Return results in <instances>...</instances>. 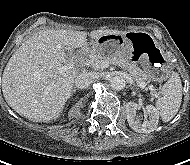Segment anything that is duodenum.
<instances>
[{"instance_id":"410a0bca","label":"duodenum","mask_w":190,"mask_h":165,"mask_svg":"<svg viewBox=\"0 0 190 165\" xmlns=\"http://www.w3.org/2000/svg\"><path fill=\"white\" fill-rule=\"evenodd\" d=\"M90 45H86L84 48H83V52H86V51H88L89 49H90Z\"/></svg>"}]
</instances>
